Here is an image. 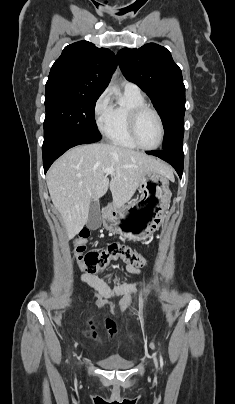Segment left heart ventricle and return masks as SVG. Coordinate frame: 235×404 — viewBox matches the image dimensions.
Listing matches in <instances>:
<instances>
[{"label": "left heart ventricle", "mask_w": 235, "mask_h": 404, "mask_svg": "<svg viewBox=\"0 0 235 404\" xmlns=\"http://www.w3.org/2000/svg\"><path fill=\"white\" fill-rule=\"evenodd\" d=\"M137 137L144 146L157 144L160 137V127L156 116L152 112H144L137 124Z\"/></svg>", "instance_id": "b2bd125f"}]
</instances>
